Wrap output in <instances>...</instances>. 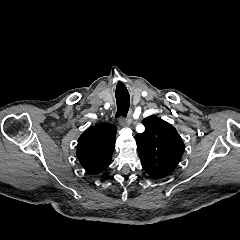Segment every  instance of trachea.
I'll return each instance as SVG.
<instances>
[{
  "label": "trachea",
  "mask_w": 240,
  "mask_h": 240,
  "mask_svg": "<svg viewBox=\"0 0 240 240\" xmlns=\"http://www.w3.org/2000/svg\"><path fill=\"white\" fill-rule=\"evenodd\" d=\"M116 101H117V112L115 117L116 118H124L127 115V110L129 108V93H116ZM123 108H126L123 110Z\"/></svg>",
  "instance_id": "obj_1"
}]
</instances>
